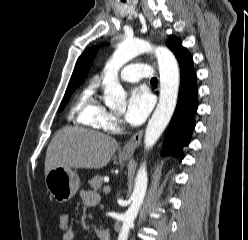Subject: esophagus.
<instances>
[{
	"label": "esophagus",
	"mask_w": 248,
	"mask_h": 240,
	"mask_svg": "<svg viewBox=\"0 0 248 240\" xmlns=\"http://www.w3.org/2000/svg\"><path fill=\"white\" fill-rule=\"evenodd\" d=\"M142 136H143V130H140L137 133H135L122 148L121 153L125 155L133 154L135 149L139 146Z\"/></svg>",
	"instance_id": "1"
}]
</instances>
